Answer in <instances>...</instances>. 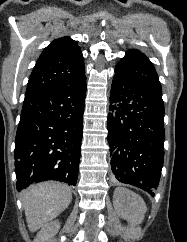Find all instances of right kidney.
Segmentation results:
<instances>
[{
	"mask_svg": "<svg viewBox=\"0 0 187 242\" xmlns=\"http://www.w3.org/2000/svg\"><path fill=\"white\" fill-rule=\"evenodd\" d=\"M60 229V223L53 221L46 224L37 235L38 242H50L51 238L56 235Z\"/></svg>",
	"mask_w": 187,
	"mask_h": 242,
	"instance_id": "right-kidney-1",
	"label": "right kidney"
}]
</instances>
